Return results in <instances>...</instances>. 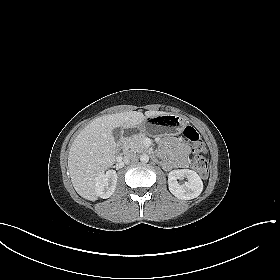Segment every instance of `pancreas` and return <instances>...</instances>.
<instances>
[{
  "label": "pancreas",
  "mask_w": 280,
  "mask_h": 280,
  "mask_svg": "<svg viewBox=\"0 0 280 280\" xmlns=\"http://www.w3.org/2000/svg\"><path fill=\"white\" fill-rule=\"evenodd\" d=\"M144 138V134H139L127 139L125 142V148L129 149L131 152H145L147 148L143 144Z\"/></svg>",
  "instance_id": "obj_1"
}]
</instances>
